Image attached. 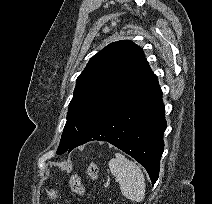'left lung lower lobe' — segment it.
<instances>
[{
  "label": "left lung lower lobe",
  "mask_w": 212,
  "mask_h": 204,
  "mask_svg": "<svg viewBox=\"0 0 212 204\" xmlns=\"http://www.w3.org/2000/svg\"><path fill=\"white\" fill-rule=\"evenodd\" d=\"M165 107L157 77L137 90L80 134L72 148L89 141H107L144 166L154 185L159 176L166 129Z\"/></svg>",
  "instance_id": "left-lung-lower-lobe-1"
}]
</instances>
